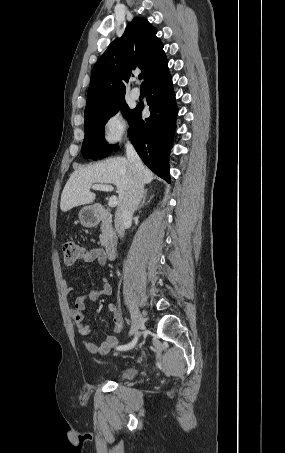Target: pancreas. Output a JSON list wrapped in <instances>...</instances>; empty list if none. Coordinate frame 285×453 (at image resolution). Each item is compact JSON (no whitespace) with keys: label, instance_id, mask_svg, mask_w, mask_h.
I'll use <instances>...</instances> for the list:
<instances>
[{"label":"pancreas","instance_id":"pancreas-1","mask_svg":"<svg viewBox=\"0 0 285 453\" xmlns=\"http://www.w3.org/2000/svg\"><path fill=\"white\" fill-rule=\"evenodd\" d=\"M112 233V228L107 223H102L101 225V234H100V241L102 244L106 243L110 234Z\"/></svg>","mask_w":285,"mask_h":453}]
</instances>
